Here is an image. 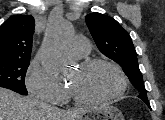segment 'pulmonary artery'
Here are the masks:
<instances>
[{"label": "pulmonary artery", "mask_w": 165, "mask_h": 120, "mask_svg": "<svg viewBox=\"0 0 165 120\" xmlns=\"http://www.w3.org/2000/svg\"><path fill=\"white\" fill-rule=\"evenodd\" d=\"M89 51V42L82 37H75L67 45V52L75 58H82L86 56Z\"/></svg>", "instance_id": "obj_1"}]
</instances>
